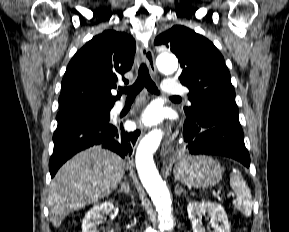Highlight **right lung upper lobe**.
<instances>
[{
	"instance_id": "right-lung-upper-lobe-1",
	"label": "right lung upper lobe",
	"mask_w": 289,
	"mask_h": 232,
	"mask_svg": "<svg viewBox=\"0 0 289 232\" xmlns=\"http://www.w3.org/2000/svg\"><path fill=\"white\" fill-rule=\"evenodd\" d=\"M134 41L125 33L104 31L84 45L72 58L64 74L60 110L88 106L113 107L120 98L111 94L132 67Z\"/></svg>"
}]
</instances>
